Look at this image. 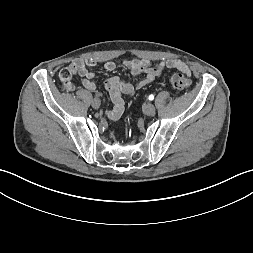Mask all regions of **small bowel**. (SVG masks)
Wrapping results in <instances>:
<instances>
[{
	"label": "small bowel",
	"mask_w": 253,
	"mask_h": 253,
	"mask_svg": "<svg viewBox=\"0 0 253 253\" xmlns=\"http://www.w3.org/2000/svg\"><path fill=\"white\" fill-rule=\"evenodd\" d=\"M95 65L96 61L93 59H76L69 65L70 69L83 77L82 84L87 90H94L96 88V84L93 81L95 74L88 70V68ZM119 65L129 69L132 75H143L144 78L135 82H126L116 76L104 80L103 85L109 92L113 103V108L106 112V116L111 120H116L123 114L125 108L124 95L132 96L138 89L160 77L164 69H177L182 72L189 71L187 64L179 59L161 60L155 64H152L149 60L141 59L108 61L104 64V69L107 72H112Z\"/></svg>",
	"instance_id": "c3829d8e"
}]
</instances>
